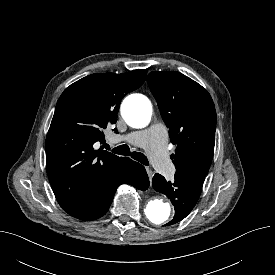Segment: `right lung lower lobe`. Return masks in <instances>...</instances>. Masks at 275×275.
<instances>
[{"label": "right lung lower lobe", "instance_id": "98d812e1", "mask_svg": "<svg viewBox=\"0 0 275 275\" xmlns=\"http://www.w3.org/2000/svg\"><path fill=\"white\" fill-rule=\"evenodd\" d=\"M122 183L146 190L149 186V179L144 166L125 157L121 168L114 174L106 187L95 195L83 212L73 217L85 221L102 217L108 211L117 187Z\"/></svg>", "mask_w": 275, "mask_h": 275}]
</instances>
